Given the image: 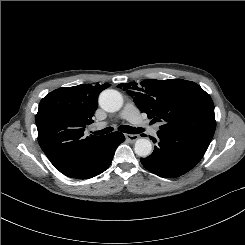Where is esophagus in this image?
Here are the masks:
<instances>
[{
    "label": "esophagus",
    "instance_id": "esophagus-1",
    "mask_svg": "<svg viewBox=\"0 0 245 245\" xmlns=\"http://www.w3.org/2000/svg\"><path fill=\"white\" fill-rule=\"evenodd\" d=\"M125 138H126V140H128L130 142H134L139 138V136L138 135H132V134H125Z\"/></svg>",
    "mask_w": 245,
    "mask_h": 245
}]
</instances>
